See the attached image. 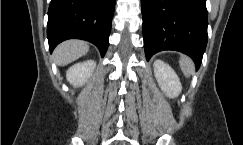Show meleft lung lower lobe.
<instances>
[{
  "instance_id": "obj_1",
  "label": "left lung lower lobe",
  "mask_w": 243,
  "mask_h": 145,
  "mask_svg": "<svg viewBox=\"0 0 243 145\" xmlns=\"http://www.w3.org/2000/svg\"><path fill=\"white\" fill-rule=\"evenodd\" d=\"M147 60L162 50L189 55L199 68L207 45L206 0H141Z\"/></svg>"
}]
</instances>
